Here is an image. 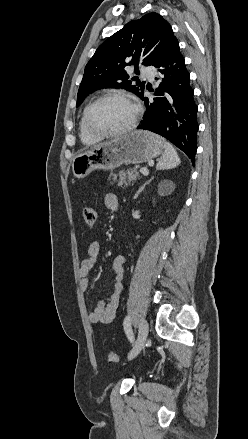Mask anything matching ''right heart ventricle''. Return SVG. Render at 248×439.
Instances as JSON below:
<instances>
[{"label": "right heart ventricle", "instance_id": "e07e8e85", "mask_svg": "<svg viewBox=\"0 0 248 439\" xmlns=\"http://www.w3.org/2000/svg\"><path fill=\"white\" fill-rule=\"evenodd\" d=\"M85 110H86V108L84 109V111L81 115V118H80V122H79V137H80L83 144L91 146V145H94V144L98 143L99 141H101L102 138L93 136L92 134H90L87 131V129L85 127V123H84Z\"/></svg>", "mask_w": 248, "mask_h": 439}]
</instances>
